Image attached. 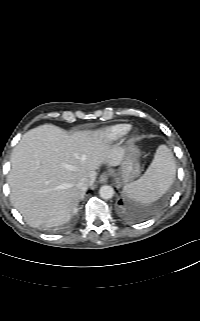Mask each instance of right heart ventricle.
Wrapping results in <instances>:
<instances>
[{"label": "right heart ventricle", "instance_id": "right-heart-ventricle-1", "mask_svg": "<svg viewBox=\"0 0 200 321\" xmlns=\"http://www.w3.org/2000/svg\"><path fill=\"white\" fill-rule=\"evenodd\" d=\"M130 128H131V125L128 123H118V124L106 126L100 129L96 133V136L99 139H102L108 142L117 141L123 136H125L127 132L130 130Z\"/></svg>", "mask_w": 200, "mask_h": 321}]
</instances>
